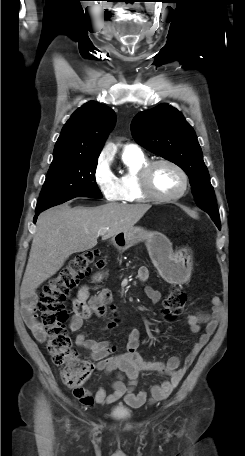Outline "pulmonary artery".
Returning a JSON list of instances; mask_svg holds the SVG:
<instances>
[{
  "mask_svg": "<svg viewBox=\"0 0 245 456\" xmlns=\"http://www.w3.org/2000/svg\"><path fill=\"white\" fill-rule=\"evenodd\" d=\"M124 153H140V148L135 144H125L123 146Z\"/></svg>",
  "mask_w": 245,
  "mask_h": 456,
  "instance_id": "pulmonary-artery-1",
  "label": "pulmonary artery"
}]
</instances>
